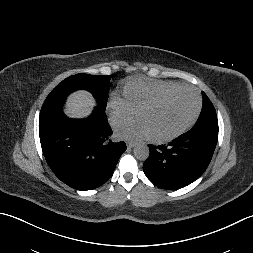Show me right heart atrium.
<instances>
[{
  "label": "right heart atrium",
  "instance_id": "d8ad5b80",
  "mask_svg": "<svg viewBox=\"0 0 253 253\" xmlns=\"http://www.w3.org/2000/svg\"><path fill=\"white\" fill-rule=\"evenodd\" d=\"M108 107L111 122L114 125L130 122L135 116V110L125 99L113 97L110 99Z\"/></svg>",
  "mask_w": 253,
  "mask_h": 253
}]
</instances>
